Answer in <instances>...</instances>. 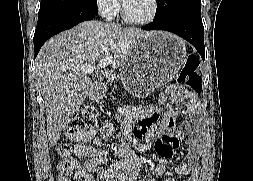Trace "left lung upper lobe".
<instances>
[{
	"label": "left lung upper lobe",
	"instance_id": "5c2ea615",
	"mask_svg": "<svg viewBox=\"0 0 253 181\" xmlns=\"http://www.w3.org/2000/svg\"><path fill=\"white\" fill-rule=\"evenodd\" d=\"M155 21H161L180 14H200V0H157Z\"/></svg>",
	"mask_w": 253,
	"mask_h": 181
}]
</instances>
